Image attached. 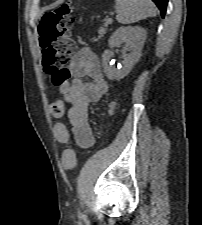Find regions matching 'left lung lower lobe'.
Instances as JSON below:
<instances>
[{
    "mask_svg": "<svg viewBox=\"0 0 202 225\" xmlns=\"http://www.w3.org/2000/svg\"><path fill=\"white\" fill-rule=\"evenodd\" d=\"M161 11L162 17L165 16L168 0H152Z\"/></svg>",
    "mask_w": 202,
    "mask_h": 225,
    "instance_id": "obj_1",
    "label": "left lung lower lobe"
}]
</instances>
